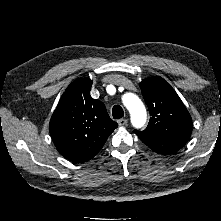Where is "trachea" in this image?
<instances>
[{
	"label": "trachea",
	"mask_w": 221,
	"mask_h": 221,
	"mask_svg": "<svg viewBox=\"0 0 221 221\" xmlns=\"http://www.w3.org/2000/svg\"><path fill=\"white\" fill-rule=\"evenodd\" d=\"M112 116L114 119H120L124 116V111L121 106L115 105L112 108Z\"/></svg>",
	"instance_id": "3493384b"
}]
</instances>
